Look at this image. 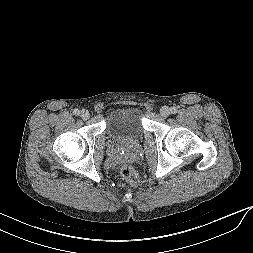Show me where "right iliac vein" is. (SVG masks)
Wrapping results in <instances>:
<instances>
[{
    "label": "right iliac vein",
    "instance_id": "63e3f726",
    "mask_svg": "<svg viewBox=\"0 0 253 253\" xmlns=\"http://www.w3.org/2000/svg\"><path fill=\"white\" fill-rule=\"evenodd\" d=\"M90 114L87 110L83 109L81 112H80V117L83 119V120H87L89 118Z\"/></svg>",
    "mask_w": 253,
    "mask_h": 253
}]
</instances>
